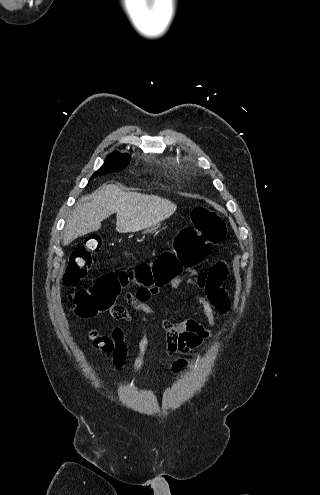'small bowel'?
<instances>
[{"instance_id":"small-bowel-1","label":"small bowel","mask_w":320,"mask_h":495,"mask_svg":"<svg viewBox=\"0 0 320 495\" xmlns=\"http://www.w3.org/2000/svg\"><path fill=\"white\" fill-rule=\"evenodd\" d=\"M189 274L187 280L196 287L204 291L203 295H195L194 300L198 303L205 316L209 321V325L213 326L217 318L228 312L230 301L226 293L220 288L223 280L227 275V266L223 261L217 262L212 269L206 274L198 269H186ZM180 279H174L171 282L172 288H177L180 284ZM146 293L149 298L145 301H137L135 295L126 293L124 299L128 305L132 307L141 317L143 322L147 321V317L154 314L153 308L149 305V300L152 295L158 293L157 287H141L137 292ZM136 292V293H137ZM111 317L130 321L131 314L128 307L118 305V307L109 310ZM162 327L166 333L167 353L169 356L176 353H189L194 349L203 345L205 340L212 336L210 329L205 328L202 324L194 319H185L178 321H163ZM114 338L116 341L115 364L121 363L125 353L126 345L124 342V328L118 325L114 330ZM148 346L147 330L145 329L141 339L138 342V354L133 362L134 371H139L144 365V358ZM186 360L179 358L173 361L171 369L178 371L186 366Z\"/></svg>"}]
</instances>
